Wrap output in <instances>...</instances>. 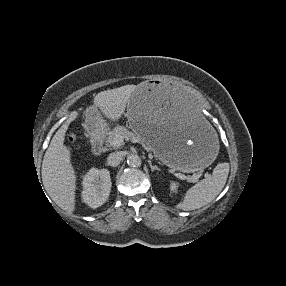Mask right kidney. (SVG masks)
Wrapping results in <instances>:
<instances>
[{
  "mask_svg": "<svg viewBox=\"0 0 286 286\" xmlns=\"http://www.w3.org/2000/svg\"><path fill=\"white\" fill-rule=\"evenodd\" d=\"M82 200L91 208L103 205L109 197L111 190L110 172L107 169H90L82 181Z\"/></svg>",
  "mask_w": 286,
  "mask_h": 286,
  "instance_id": "right-kidney-1",
  "label": "right kidney"
}]
</instances>
